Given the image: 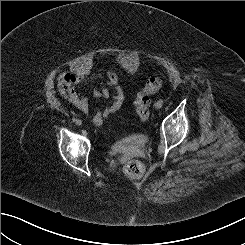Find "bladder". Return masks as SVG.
Masks as SVG:
<instances>
[{"label":"bladder","instance_id":"obj_1","mask_svg":"<svg viewBox=\"0 0 245 245\" xmlns=\"http://www.w3.org/2000/svg\"><path fill=\"white\" fill-rule=\"evenodd\" d=\"M140 136H141L140 133L131 134L130 136H125V137H122L118 140H115L113 143L114 152L121 154V155L129 154L136 147L137 139Z\"/></svg>","mask_w":245,"mask_h":245}]
</instances>
